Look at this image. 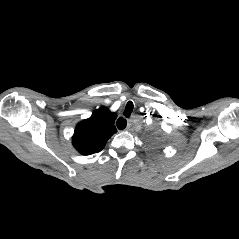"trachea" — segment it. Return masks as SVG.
Segmentation results:
<instances>
[{
  "label": "trachea",
  "instance_id": "1",
  "mask_svg": "<svg viewBox=\"0 0 239 239\" xmlns=\"http://www.w3.org/2000/svg\"><path fill=\"white\" fill-rule=\"evenodd\" d=\"M132 110H133V103L131 101H129L127 104H126V107H125V110H124V116L125 117H130L131 113H132Z\"/></svg>",
  "mask_w": 239,
  "mask_h": 239
}]
</instances>
